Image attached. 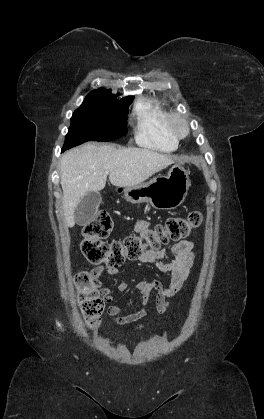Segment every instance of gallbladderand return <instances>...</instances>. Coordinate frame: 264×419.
<instances>
[{
    "instance_id": "obj_1",
    "label": "gallbladder",
    "mask_w": 264,
    "mask_h": 419,
    "mask_svg": "<svg viewBox=\"0 0 264 419\" xmlns=\"http://www.w3.org/2000/svg\"><path fill=\"white\" fill-rule=\"evenodd\" d=\"M101 202L102 196L99 192H87L75 209L76 224L79 226L88 224L93 219Z\"/></svg>"
}]
</instances>
